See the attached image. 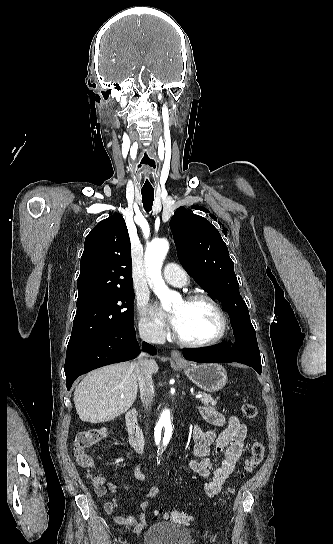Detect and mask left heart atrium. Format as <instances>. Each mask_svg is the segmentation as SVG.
<instances>
[{
	"instance_id": "1",
	"label": "left heart atrium",
	"mask_w": 333,
	"mask_h": 544,
	"mask_svg": "<svg viewBox=\"0 0 333 544\" xmlns=\"http://www.w3.org/2000/svg\"><path fill=\"white\" fill-rule=\"evenodd\" d=\"M168 320L173 327H177L178 316L176 314L173 313L172 315L168 316Z\"/></svg>"
}]
</instances>
